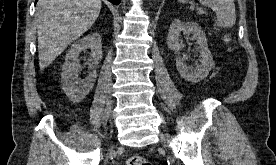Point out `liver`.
Listing matches in <instances>:
<instances>
[{
  "label": "liver",
  "mask_w": 276,
  "mask_h": 165,
  "mask_svg": "<svg viewBox=\"0 0 276 165\" xmlns=\"http://www.w3.org/2000/svg\"><path fill=\"white\" fill-rule=\"evenodd\" d=\"M101 0H39L36 6L40 70L47 68L99 16Z\"/></svg>",
  "instance_id": "1"
}]
</instances>
